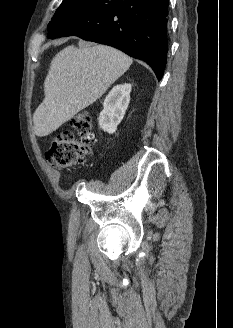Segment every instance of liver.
<instances>
[{
  "label": "liver",
  "mask_w": 233,
  "mask_h": 328,
  "mask_svg": "<svg viewBox=\"0 0 233 328\" xmlns=\"http://www.w3.org/2000/svg\"><path fill=\"white\" fill-rule=\"evenodd\" d=\"M132 64L105 45L68 46L51 61L43 102L33 115L34 133L44 137L99 99Z\"/></svg>",
  "instance_id": "1"
}]
</instances>
